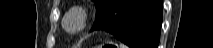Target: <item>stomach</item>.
Instances as JSON below:
<instances>
[{"label":"stomach","instance_id":"stomach-1","mask_svg":"<svg viewBox=\"0 0 213 48\" xmlns=\"http://www.w3.org/2000/svg\"><path fill=\"white\" fill-rule=\"evenodd\" d=\"M105 45H103V44H100V45H98V47H95V48H103Z\"/></svg>","mask_w":213,"mask_h":48}]
</instances>
